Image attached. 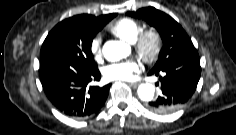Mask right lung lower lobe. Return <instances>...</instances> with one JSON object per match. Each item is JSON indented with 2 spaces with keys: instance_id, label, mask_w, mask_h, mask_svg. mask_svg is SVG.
I'll list each match as a JSON object with an SVG mask.
<instances>
[{
  "instance_id": "obj_1",
  "label": "right lung lower lobe",
  "mask_w": 236,
  "mask_h": 135,
  "mask_svg": "<svg viewBox=\"0 0 236 135\" xmlns=\"http://www.w3.org/2000/svg\"><path fill=\"white\" fill-rule=\"evenodd\" d=\"M98 69L57 67L40 69V79L46 96L61 113L73 118H85L103 107L111 84L91 86L100 80Z\"/></svg>"
}]
</instances>
